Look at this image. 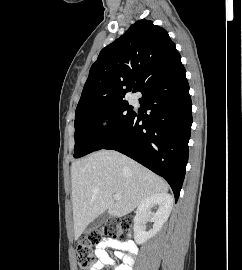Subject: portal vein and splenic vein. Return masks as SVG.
Listing matches in <instances>:
<instances>
[{"label": "portal vein and splenic vein", "instance_id": "portal-vein-and-splenic-vein-1", "mask_svg": "<svg viewBox=\"0 0 242 270\" xmlns=\"http://www.w3.org/2000/svg\"><path fill=\"white\" fill-rule=\"evenodd\" d=\"M113 197L115 200H120V198H121V196L119 194H115Z\"/></svg>", "mask_w": 242, "mask_h": 270}]
</instances>
